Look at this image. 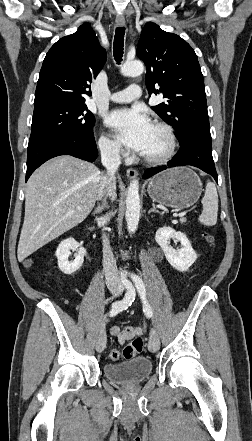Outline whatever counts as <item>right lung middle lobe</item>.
<instances>
[{"label": "right lung middle lobe", "mask_w": 252, "mask_h": 441, "mask_svg": "<svg viewBox=\"0 0 252 441\" xmlns=\"http://www.w3.org/2000/svg\"><path fill=\"white\" fill-rule=\"evenodd\" d=\"M94 115L85 103L51 101L35 105L30 139L42 135L93 133Z\"/></svg>", "instance_id": "dd1d6c3e"}]
</instances>
